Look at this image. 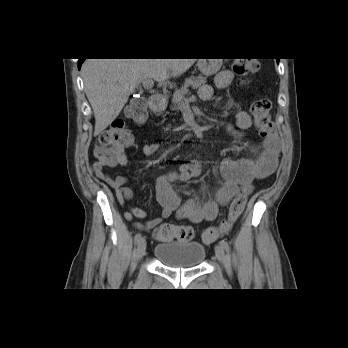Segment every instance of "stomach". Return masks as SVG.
<instances>
[{
    "mask_svg": "<svg viewBox=\"0 0 348 348\" xmlns=\"http://www.w3.org/2000/svg\"><path fill=\"white\" fill-rule=\"evenodd\" d=\"M222 65V59H199L197 66L200 72L205 76L216 74Z\"/></svg>",
    "mask_w": 348,
    "mask_h": 348,
    "instance_id": "0dacf381",
    "label": "stomach"
}]
</instances>
